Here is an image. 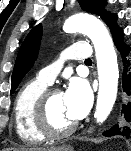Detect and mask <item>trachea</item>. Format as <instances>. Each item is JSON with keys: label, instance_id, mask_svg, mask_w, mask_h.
I'll list each match as a JSON object with an SVG mask.
<instances>
[{"label": "trachea", "instance_id": "obj_1", "mask_svg": "<svg viewBox=\"0 0 131 151\" xmlns=\"http://www.w3.org/2000/svg\"><path fill=\"white\" fill-rule=\"evenodd\" d=\"M85 62L86 63H91L92 61H91V59H86Z\"/></svg>", "mask_w": 131, "mask_h": 151}]
</instances>
